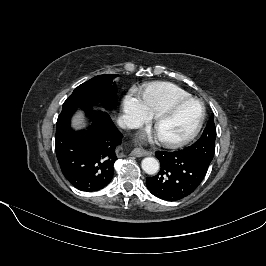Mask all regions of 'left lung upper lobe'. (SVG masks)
<instances>
[{
    "label": "left lung upper lobe",
    "mask_w": 266,
    "mask_h": 266,
    "mask_svg": "<svg viewBox=\"0 0 266 266\" xmlns=\"http://www.w3.org/2000/svg\"><path fill=\"white\" fill-rule=\"evenodd\" d=\"M216 127L213 116L208 121L207 127L201 137L192 146L183 150L185 154L197 158L200 162L209 166L215 152Z\"/></svg>",
    "instance_id": "1"
}]
</instances>
